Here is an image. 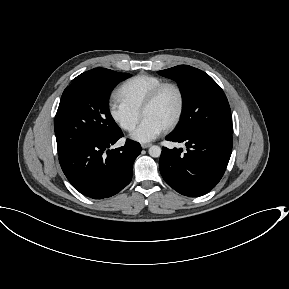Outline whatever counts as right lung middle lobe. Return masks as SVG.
I'll list each match as a JSON object with an SVG mask.
<instances>
[{"mask_svg":"<svg viewBox=\"0 0 289 289\" xmlns=\"http://www.w3.org/2000/svg\"><path fill=\"white\" fill-rule=\"evenodd\" d=\"M128 77V73L112 71L101 78H75L64 90L54 120L59 155L120 130L107 101L113 87Z\"/></svg>","mask_w":289,"mask_h":289,"instance_id":"dd1d6c3e","label":"right lung middle lobe"}]
</instances>
